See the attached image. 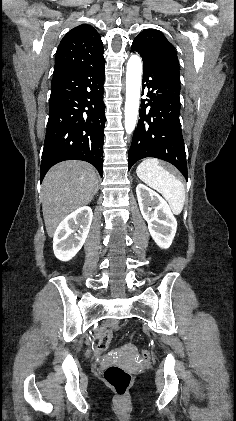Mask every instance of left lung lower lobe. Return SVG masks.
Segmentation results:
<instances>
[{"label":"left lung lower lobe","instance_id":"1","mask_svg":"<svg viewBox=\"0 0 236 421\" xmlns=\"http://www.w3.org/2000/svg\"><path fill=\"white\" fill-rule=\"evenodd\" d=\"M143 83L142 95L145 87L152 90L146 94L148 99L141 101L140 118L129 149V169L140 159L155 157L173 164L187 180L186 153L179 119L180 76L171 69L143 59ZM145 101L148 103L144 104Z\"/></svg>","mask_w":236,"mask_h":421}]
</instances>
